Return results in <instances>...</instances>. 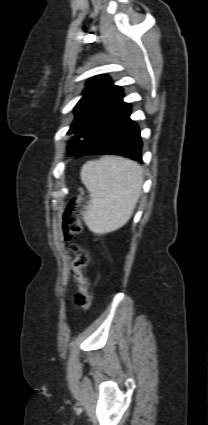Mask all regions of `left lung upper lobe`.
I'll return each instance as SVG.
<instances>
[{
  "label": "left lung upper lobe",
  "instance_id": "left-lung-upper-lobe-1",
  "mask_svg": "<svg viewBox=\"0 0 208 425\" xmlns=\"http://www.w3.org/2000/svg\"><path fill=\"white\" fill-rule=\"evenodd\" d=\"M123 93L105 75L95 76L87 83L84 96L74 107L75 120L68 134H77L84 129L107 105ZM75 137V136H74ZM69 155H80L81 147L77 139L71 140L67 147Z\"/></svg>",
  "mask_w": 208,
  "mask_h": 425
}]
</instances>
